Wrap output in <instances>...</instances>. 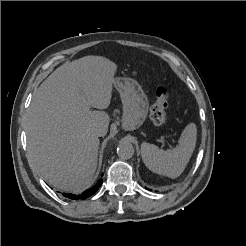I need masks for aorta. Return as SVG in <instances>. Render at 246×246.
<instances>
[{
	"mask_svg": "<svg viewBox=\"0 0 246 246\" xmlns=\"http://www.w3.org/2000/svg\"><path fill=\"white\" fill-rule=\"evenodd\" d=\"M117 155L125 160L132 158L134 155L133 145L127 140H121L117 147Z\"/></svg>",
	"mask_w": 246,
	"mask_h": 246,
	"instance_id": "762f6f07",
	"label": "aorta"
}]
</instances>
